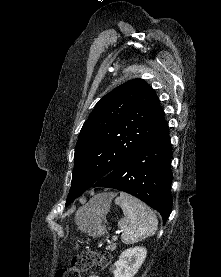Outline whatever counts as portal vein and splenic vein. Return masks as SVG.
<instances>
[{"mask_svg":"<svg viewBox=\"0 0 221 277\" xmlns=\"http://www.w3.org/2000/svg\"><path fill=\"white\" fill-rule=\"evenodd\" d=\"M118 234H120V231L116 233V235L113 237V241H116L118 239Z\"/></svg>","mask_w":221,"mask_h":277,"instance_id":"18ae733b","label":"portal vein and splenic vein"}]
</instances>
